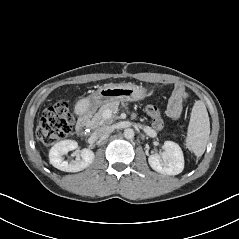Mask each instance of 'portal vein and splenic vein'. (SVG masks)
Masks as SVG:
<instances>
[{"mask_svg": "<svg viewBox=\"0 0 239 239\" xmlns=\"http://www.w3.org/2000/svg\"><path fill=\"white\" fill-rule=\"evenodd\" d=\"M111 116H112V112H111L110 110H106V111L103 113L102 118H103V120H108V119L111 118Z\"/></svg>", "mask_w": 239, "mask_h": 239, "instance_id": "1", "label": "portal vein and splenic vein"}]
</instances>
